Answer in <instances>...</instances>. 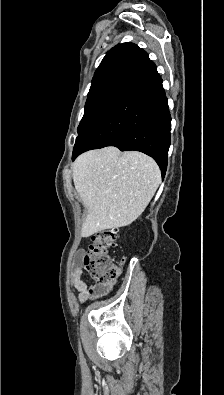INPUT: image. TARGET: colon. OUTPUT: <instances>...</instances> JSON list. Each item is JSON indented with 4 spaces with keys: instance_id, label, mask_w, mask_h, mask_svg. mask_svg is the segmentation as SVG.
Returning <instances> with one entry per match:
<instances>
[{
    "instance_id": "colon-1",
    "label": "colon",
    "mask_w": 224,
    "mask_h": 395,
    "mask_svg": "<svg viewBox=\"0 0 224 395\" xmlns=\"http://www.w3.org/2000/svg\"><path fill=\"white\" fill-rule=\"evenodd\" d=\"M116 229H105L92 235L88 251L83 257V267L88 276L98 284L113 282L119 275V268L114 265L109 249L115 243Z\"/></svg>"
}]
</instances>
